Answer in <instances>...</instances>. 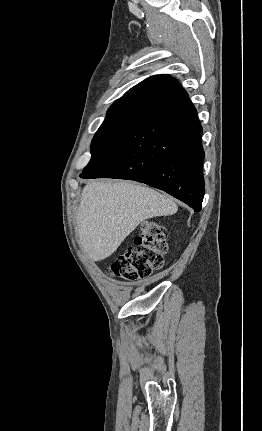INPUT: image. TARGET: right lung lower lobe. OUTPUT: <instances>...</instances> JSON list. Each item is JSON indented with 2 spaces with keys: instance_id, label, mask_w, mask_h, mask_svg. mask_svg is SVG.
<instances>
[{
  "instance_id": "right-lung-lower-lobe-1",
  "label": "right lung lower lobe",
  "mask_w": 262,
  "mask_h": 431,
  "mask_svg": "<svg viewBox=\"0 0 262 431\" xmlns=\"http://www.w3.org/2000/svg\"><path fill=\"white\" fill-rule=\"evenodd\" d=\"M202 127L190 100L132 125L81 178H118L161 189L200 211Z\"/></svg>"
}]
</instances>
